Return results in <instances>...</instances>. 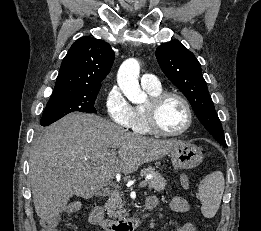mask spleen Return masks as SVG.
Masks as SVG:
<instances>
[{
	"instance_id": "obj_1",
	"label": "spleen",
	"mask_w": 261,
	"mask_h": 231,
	"mask_svg": "<svg viewBox=\"0 0 261 231\" xmlns=\"http://www.w3.org/2000/svg\"><path fill=\"white\" fill-rule=\"evenodd\" d=\"M224 176L221 171H214L203 178L198 187V197L202 202L204 217L212 218L219 209L224 192Z\"/></svg>"
}]
</instances>
